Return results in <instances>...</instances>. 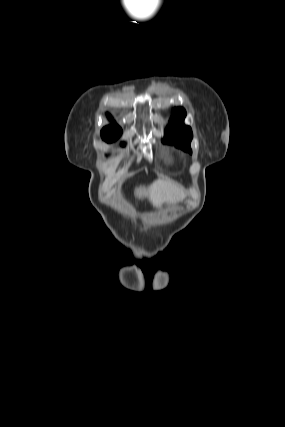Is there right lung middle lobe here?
Segmentation results:
<instances>
[{
	"mask_svg": "<svg viewBox=\"0 0 285 427\" xmlns=\"http://www.w3.org/2000/svg\"><path fill=\"white\" fill-rule=\"evenodd\" d=\"M121 132H115V133H102V138L106 141V142H113L116 139H118V137L121 135Z\"/></svg>",
	"mask_w": 285,
	"mask_h": 427,
	"instance_id": "right-lung-middle-lobe-1",
	"label": "right lung middle lobe"
}]
</instances>
